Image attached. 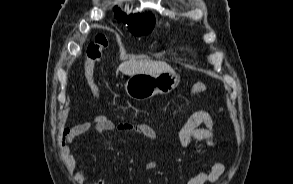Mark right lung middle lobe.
Listing matches in <instances>:
<instances>
[{
    "mask_svg": "<svg viewBox=\"0 0 293 184\" xmlns=\"http://www.w3.org/2000/svg\"><path fill=\"white\" fill-rule=\"evenodd\" d=\"M129 30L132 34L136 35V36H141V35H146L148 33H150L153 30V26H143V25H136V24H132L129 25Z\"/></svg>",
    "mask_w": 293,
    "mask_h": 184,
    "instance_id": "1",
    "label": "right lung middle lobe"
}]
</instances>
